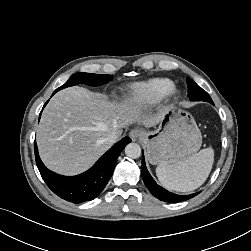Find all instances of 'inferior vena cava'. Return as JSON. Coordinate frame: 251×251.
Wrapping results in <instances>:
<instances>
[{"label": "inferior vena cava", "instance_id": "inferior-vena-cava-1", "mask_svg": "<svg viewBox=\"0 0 251 251\" xmlns=\"http://www.w3.org/2000/svg\"><path fill=\"white\" fill-rule=\"evenodd\" d=\"M120 134L116 131H113L109 134V136L107 137V141L110 143H114L117 141V139L119 138Z\"/></svg>", "mask_w": 251, "mask_h": 251}]
</instances>
